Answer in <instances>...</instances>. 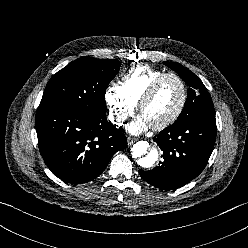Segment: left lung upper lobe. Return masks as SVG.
<instances>
[{"instance_id": "left-lung-upper-lobe-1", "label": "left lung upper lobe", "mask_w": 248, "mask_h": 248, "mask_svg": "<svg viewBox=\"0 0 248 248\" xmlns=\"http://www.w3.org/2000/svg\"><path fill=\"white\" fill-rule=\"evenodd\" d=\"M166 66L176 71L188 84L185 106L173 124H183L195 119L214 117L215 111L211 96L202 81L186 67L173 62H164Z\"/></svg>"}]
</instances>
